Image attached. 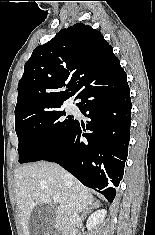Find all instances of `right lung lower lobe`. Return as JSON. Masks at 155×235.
<instances>
[{
  "label": "right lung lower lobe",
  "instance_id": "1",
  "mask_svg": "<svg viewBox=\"0 0 155 235\" xmlns=\"http://www.w3.org/2000/svg\"><path fill=\"white\" fill-rule=\"evenodd\" d=\"M126 77L122 69L86 89L77 106L90 118L89 132L76 121L65 143L43 159L58 163L110 202L124 174L130 140L132 104Z\"/></svg>",
  "mask_w": 155,
  "mask_h": 235
}]
</instances>
